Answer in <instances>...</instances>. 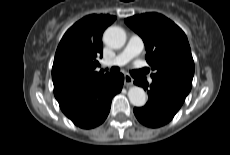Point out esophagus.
<instances>
[{
  "label": "esophagus",
  "instance_id": "34e87169",
  "mask_svg": "<svg viewBox=\"0 0 230 155\" xmlns=\"http://www.w3.org/2000/svg\"><path fill=\"white\" fill-rule=\"evenodd\" d=\"M133 82H134V79L130 75L128 74L124 75V85L126 87L132 86Z\"/></svg>",
  "mask_w": 230,
  "mask_h": 155
}]
</instances>
